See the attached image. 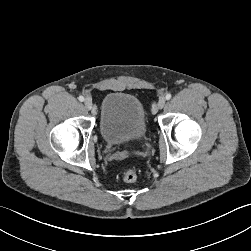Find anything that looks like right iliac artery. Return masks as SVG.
Returning a JSON list of instances; mask_svg holds the SVG:
<instances>
[{"label":"right iliac artery","mask_w":251,"mask_h":251,"mask_svg":"<svg viewBox=\"0 0 251 251\" xmlns=\"http://www.w3.org/2000/svg\"><path fill=\"white\" fill-rule=\"evenodd\" d=\"M78 100L81 101V102H83L84 101V97L83 96H79Z\"/></svg>","instance_id":"1"}]
</instances>
